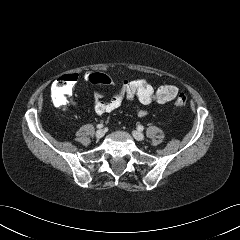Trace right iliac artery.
Returning a JSON list of instances; mask_svg holds the SVG:
<instances>
[{
	"mask_svg": "<svg viewBox=\"0 0 240 240\" xmlns=\"http://www.w3.org/2000/svg\"><path fill=\"white\" fill-rule=\"evenodd\" d=\"M102 127H103V124H98L97 125V128H99V129L102 128Z\"/></svg>",
	"mask_w": 240,
	"mask_h": 240,
	"instance_id": "right-iliac-artery-1",
	"label": "right iliac artery"
}]
</instances>
